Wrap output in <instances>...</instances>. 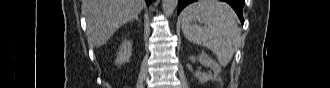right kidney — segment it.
<instances>
[{
  "mask_svg": "<svg viewBox=\"0 0 330 88\" xmlns=\"http://www.w3.org/2000/svg\"><path fill=\"white\" fill-rule=\"evenodd\" d=\"M132 54V43L131 41H124L119 49V52L117 54L115 63L116 65H122L125 62H128L130 60Z\"/></svg>",
  "mask_w": 330,
  "mask_h": 88,
  "instance_id": "obj_1",
  "label": "right kidney"
}]
</instances>
